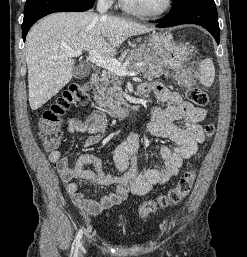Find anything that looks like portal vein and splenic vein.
Wrapping results in <instances>:
<instances>
[{"label":"portal vein and splenic vein","instance_id":"1","mask_svg":"<svg viewBox=\"0 0 247 257\" xmlns=\"http://www.w3.org/2000/svg\"><path fill=\"white\" fill-rule=\"evenodd\" d=\"M66 53L69 57H77L82 54V51L66 49ZM88 59L96 66L107 69L121 77L138 75L137 72L127 71L126 67L122 65L120 62H118L117 60L102 56L94 50L89 51Z\"/></svg>","mask_w":247,"mask_h":257}]
</instances>
